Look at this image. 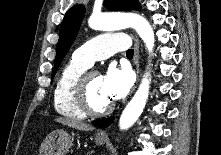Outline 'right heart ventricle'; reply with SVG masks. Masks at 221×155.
<instances>
[{
  "label": "right heart ventricle",
  "instance_id": "1",
  "mask_svg": "<svg viewBox=\"0 0 221 155\" xmlns=\"http://www.w3.org/2000/svg\"><path fill=\"white\" fill-rule=\"evenodd\" d=\"M87 69L88 66L73 58L62 68L53 92L54 107L59 114L73 119L85 118L74 102L72 90L77 78Z\"/></svg>",
  "mask_w": 221,
  "mask_h": 155
}]
</instances>
